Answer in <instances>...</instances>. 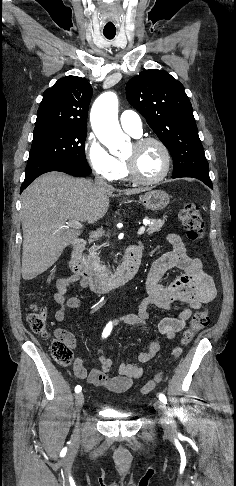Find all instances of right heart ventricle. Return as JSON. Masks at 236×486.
I'll use <instances>...</instances> for the list:
<instances>
[{"mask_svg": "<svg viewBox=\"0 0 236 486\" xmlns=\"http://www.w3.org/2000/svg\"><path fill=\"white\" fill-rule=\"evenodd\" d=\"M118 160L121 164V172H120L118 179H127L128 176H127V171H126V166H125L124 160H122V159H118Z\"/></svg>", "mask_w": 236, "mask_h": 486, "instance_id": "obj_1", "label": "right heart ventricle"}]
</instances>
